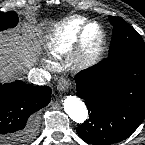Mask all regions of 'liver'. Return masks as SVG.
I'll return each mask as SVG.
<instances>
[{"label": "liver", "instance_id": "6515ba94", "mask_svg": "<svg viewBox=\"0 0 145 145\" xmlns=\"http://www.w3.org/2000/svg\"><path fill=\"white\" fill-rule=\"evenodd\" d=\"M23 35H0V78L14 77L31 65L32 57L38 45L35 42L34 29L25 25Z\"/></svg>", "mask_w": 145, "mask_h": 145}]
</instances>
